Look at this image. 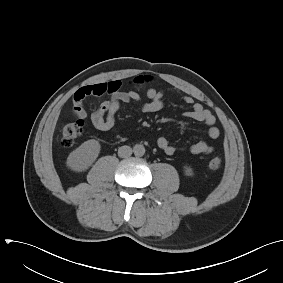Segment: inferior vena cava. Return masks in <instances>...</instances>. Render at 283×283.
<instances>
[{
  "label": "inferior vena cava",
  "mask_w": 283,
  "mask_h": 283,
  "mask_svg": "<svg viewBox=\"0 0 283 283\" xmlns=\"http://www.w3.org/2000/svg\"><path fill=\"white\" fill-rule=\"evenodd\" d=\"M133 150L131 147L129 146H121L119 149H118V156L121 157V158H127L129 156H131Z\"/></svg>",
  "instance_id": "602c4592"
}]
</instances>
